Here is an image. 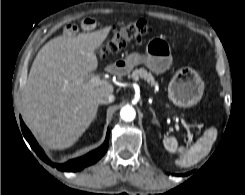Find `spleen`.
<instances>
[{
  "instance_id": "1",
  "label": "spleen",
  "mask_w": 245,
  "mask_h": 195,
  "mask_svg": "<svg viewBox=\"0 0 245 195\" xmlns=\"http://www.w3.org/2000/svg\"><path fill=\"white\" fill-rule=\"evenodd\" d=\"M217 131L214 128L209 129L204 137L199 139L189 150H187L182 159L177 162L181 167H190L199 162L206 156L216 139ZM165 148L170 152H175L178 149V142L175 137H168L163 140Z\"/></svg>"
}]
</instances>
